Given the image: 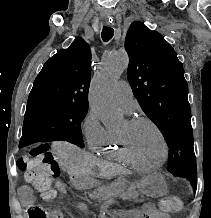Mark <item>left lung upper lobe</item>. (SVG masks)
Instances as JSON below:
<instances>
[{
  "label": "left lung upper lobe",
  "instance_id": "5c2ea615",
  "mask_svg": "<svg viewBox=\"0 0 211 218\" xmlns=\"http://www.w3.org/2000/svg\"><path fill=\"white\" fill-rule=\"evenodd\" d=\"M127 78L145 114L169 147L168 171L185 176L195 189L196 157L184 69L164 37L142 22L131 24L125 40Z\"/></svg>",
  "mask_w": 211,
  "mask_h": 218
}]
</instances>
